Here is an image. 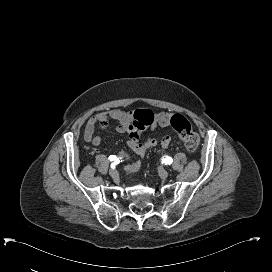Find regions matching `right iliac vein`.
Masks as SVG:
<instances>
[{
    "label": "right iliac vein",
    "mask_w": 272,
    "mask_h": 272,
    "mask_svg": "<svg viewBox=\"0 0 272 272\" xmlns=\"http://www.w3.org/2000/svg\"><path fill=\"white\" fill-rule=\"evenodd\" d=\"M109 174H110V176H111L112 178H116V177L118 176V172H117V170H115V169H111V170L109 171Z\"/></svg>",
    "instance_id": "right-iliac-vein-1"
}]
</instances>
